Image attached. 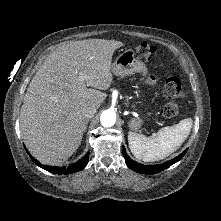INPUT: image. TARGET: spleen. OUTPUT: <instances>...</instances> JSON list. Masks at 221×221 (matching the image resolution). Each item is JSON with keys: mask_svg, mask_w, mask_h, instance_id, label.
Here are the masks:
<instances>
[{"mask_svg": "<svg viewBox=\"0 0 221 221\" xmlns=\"http://www.w3.org/2000/svg\"><path fill=\"white\" fill-rule=\"evenodd\" d=\"M193 125L191 118L178 124L166 126L152 136L128 133V143L132 154L145 162L158 161L175 152L188 137Z\"/></svg>", "mask_w": 221, "mask_h": 221, "instance_id": "obj_1", "label": "spleen"}]
</instances>
